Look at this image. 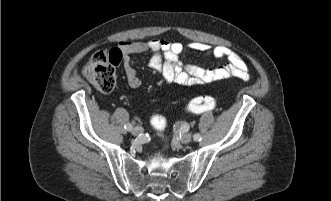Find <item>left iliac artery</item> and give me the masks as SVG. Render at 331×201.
Listing matches in <instances>:
<instances>
[{
    "mask_svg": "<svg viewBox=\"0 0 331 201\" xmlns=\"http://www.w3.org/2000/svg\"><path fill=\"white\" fill-rule=\"evenodd\" d=\"M181 127L186 130V129H188L189 126L186 123H183V124H181ZM193 139L195 141H200L202 139V137L200 134L196 133V134H194Z\"/></svg>",
    "mask_w": 331,
    "mask_h": 201,
    "instance_id": "obj_1",
    "label": "left iliac artery"
}]
</instances>
